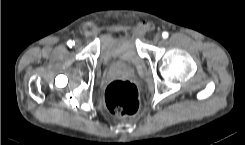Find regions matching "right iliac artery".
<instances>
[{"instance_id": "82829eb1", "label": "right iliac artery", "mask_w": 245, "mask_h": 145, "mask_svg": "<svg viewBox=\"0 0 245 145\" xmlns=\"http://www.w3.org/2000/svg\"><path fill=\"white\" fill-rule=\"evenodd\" d=\"M74 44H75V43H74V41H72V40H69V41L67 42V45H68L69 47H72Z\"/></svg>"}]
</instances>
